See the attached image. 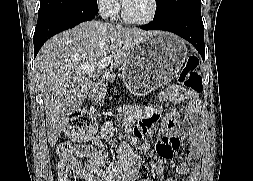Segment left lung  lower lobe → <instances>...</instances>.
<instances>
[{
	"instance_id": "1",
	"label": "left lung lower lobe",
	"mask_w": 253,
	"mask_h": 181,
	"mask_svg": "<svg viewBox=\"0 0 253 181\" xmlns=\"http://www.w3.org/2000/svg\"><path fill=\"white\" fill-rule=\"evenodd\" d=\"M144 30H164L189 41L205 59L204 25L201 13L183 12L141 26Z\"/></svg>"
}]
</instances>
